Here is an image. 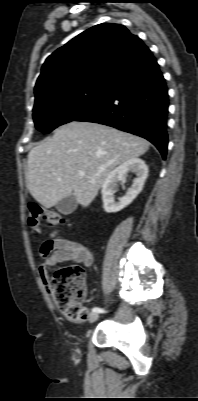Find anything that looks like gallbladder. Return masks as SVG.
<instances>
[{
    "label": "gallbladder",
    "mask_w": 198,
    "mask_h": 401,
    "mask_svg": "<svg viewBox=\"0 0 198 401\" xmlns=\"http://www.w3.org/2000/svg\"><path fill=\"white\" fill-rule=\"evenodd\" d=\"M77 207V199L74 194L63 198L56 204V209L58 212L64 215L71 214Z\"/></svg>",
    "instance_id": "bac80fb5"
}]
</instances>
